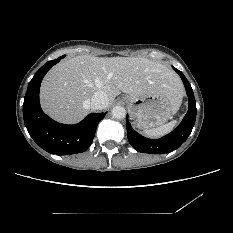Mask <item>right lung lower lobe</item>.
Instances as JSON below:
<instances>
[{
	"instance_id": "obj_1",
	"label": "right lung lower lobe",
	"mask_w": 233,
	"mask_h": 233,
	"mask_svg": "<svg viewBox=\"0 0 233 233\" xmlns=\"http://www.w3.org/2000/svg\"><path fill=\"white\" fill-rule=\"evenodd\" d=\"M60 58L45 63L30 81L23 103L25 126L32 139L45 151L57 155H70L86 151L95 136L96 128L105 113L89 114L76 125L55 122L42 111L39 89L45 74Z\"/></svg>"
}]
</instances>
